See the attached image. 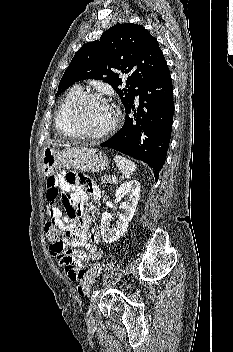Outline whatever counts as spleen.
<instances>
[{
    "label": "spleen",
    "instance_id": "1",
    "mask_svg": "<svg viewBox=\"0 0 233 352\" xmlns=\"http://www.w3.org/2000/svg\"><path fill=\"white\" fill-rule=\"evenodd\" d=\"M114 160L117 167L120 169L125 178H130V176L137 168L135 163L127 159L126 157L116 155Z\"/></svg>",
    "mask_w": 233,
    "mask_h": 352
}]
</instances>
